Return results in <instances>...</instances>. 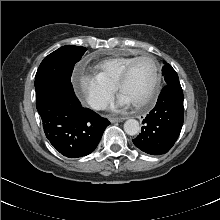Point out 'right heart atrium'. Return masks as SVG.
<instances>
[{"label": "right heart atrium", "mask_w": 220, "mask_h": 220, "mask_svg": "<svg viewBox=\"0 0 220 220\" xmlns=\"http://www.w3.org/2000/svg\"><path fill=\"white\" fill-rule=\"evenodd\" d=\"M76 94L94 110L103 109L113 98L115 86L97 75L75 73L72 79Z\"/></svg>", "instance_id": "obj_1"}]
</instances>
